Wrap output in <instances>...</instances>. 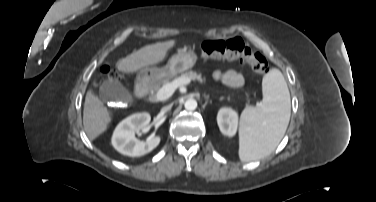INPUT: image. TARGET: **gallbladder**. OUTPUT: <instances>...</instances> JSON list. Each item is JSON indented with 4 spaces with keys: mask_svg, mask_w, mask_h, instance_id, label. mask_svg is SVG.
<instances>
[{
    "mask_svg": "<svg viewBox=\"0 0 376 202\" xmlns=\"http://www.w3.org/2000/svg\"><path fill=\"white\" fill-rule=\"evenodd\" d=\"M99 93L104 102H128L130 99L127 89L111 79L101 84Z\"/></svg>",
    "mask_w": 376,
    "mask_h": 202,
    "instance_id": "1",
    "label": "gallbladder"
}]
</instances>
